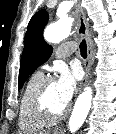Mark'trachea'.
<instances>
[{"mask_svg":"<svg viewBox=\"0 0 116 134\" xmlns=\"http://www.w3.org/2000/svg\"><path fill=\"white\" fill-rule=\"evenodd\" d=\"M80 53L83 58L87 57V45L85 40L80 43Z\"/></svg>","mask_w":116,"mask_h":134,"instance_id":"obj_1","label":"trachea"}]
</instances>
